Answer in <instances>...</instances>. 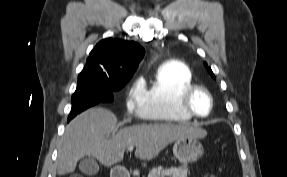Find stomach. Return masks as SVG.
Returning a JSON list of instances; mask_svg holds the SVG:
<instances>
[{
  "instance_id": "0dacf381",
  "label": "stomach",
  "mask_w": 287,
  "mask_h": 177,
  "mask_svg": "<svg viewBox=\"0 0 287 177\" xmlns=\"http://www.w3.org/2000/svg\"><path fill=\"white\" fill-rule=\"evenodd\" d=\"M174 156L182 163L188 164L196 162L203 154V146L197 137L187 136L179 138L173 145ZM121 171L120 168H114L112 174L116 175Z\"/></svg>"
}]
</instances>
